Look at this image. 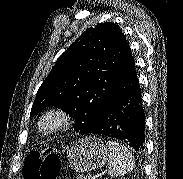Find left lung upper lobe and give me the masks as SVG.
<instances>
[{"mask_svg":"<svg viewBox=\"0 0 183 179\" xmlns=\"http://www.w3.org/2000/svg\"><path fill=\"white\" fill-rule=\"evenodd\" d=\"M128 42L114 23L87 29L59 57L40 86L30 115L66 111L79 134H89L109 104Z\"/></svg>","mask_w":183,"mask_h":179,"instance_id":"5c2ea615","label":"left lung upper lobe"}]
</instances>
